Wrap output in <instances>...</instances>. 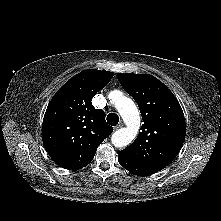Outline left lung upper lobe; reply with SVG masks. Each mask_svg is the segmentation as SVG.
I'll return each instance as SVG.
<instances>
[{
  "label": "left lung upper lobe",
  "instance_id": "left-lung-upper-lobe-1",
  "mask_svg": "<svg viewBox=\"0 0 221 221\" xmlns=\"http://www.w3.org/2000/svg\"><path fill=\"white\" fill-rule=\"evenodd\" d=\"M117 78L138 104L144 122L135 141L118 152L160 171L177 156L185 140L182 108L168 87L150 74L121 73Z\"/></svg>",
  "mask_w": 221,
  "mask_h": 221
}]
</instances>
